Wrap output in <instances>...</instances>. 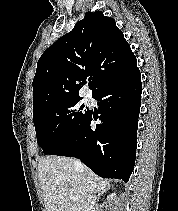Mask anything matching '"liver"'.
<instances>
[{"label": "liver", "mask_w": 178, "mask_h": 211, "mask_svg": "<svg viewBox=\"0 0 178 211\" xmlns=\"http://www.w3.org/2000/svg\"><path fill=\"white\" fill-rule=\"evenodd\" d=\"M38 177L46 211H86L87 197L99 193L107 182L89 168L80 170L73 158L50 156L38 163ZM74 196L75 200L70 197Z\"/></svg>", "instance_id": "1"}]
</instances>
